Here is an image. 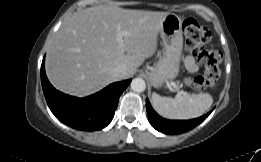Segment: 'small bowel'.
Wrapping results in <instances>:
<instances>
[{
	"mask_svg": "<svg viewBox=\"0 0 261 162\" xmlns=\"http://www.w3.org/2000/svg\"><path fill=\"white\" fill-rule=\"evenodd\" d=\"M184 64L186 69L190 72H196L198 70V66L192 56H186Z\"/></svg>",
	"mask_w": 261,
	"mask_h": 162,
	"instance_id": "small-bowel-1",
	"label": "small bowel"
}]
</instances>
